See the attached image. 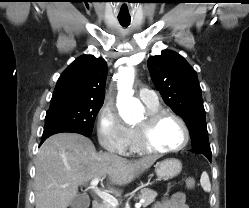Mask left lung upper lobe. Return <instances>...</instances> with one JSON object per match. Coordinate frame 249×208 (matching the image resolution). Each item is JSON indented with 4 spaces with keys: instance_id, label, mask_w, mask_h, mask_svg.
I'll list each match as a JSON object with an SVG mask.
<instances>
[{
    "instance_id": "1",
    "label": "left lung upper lobe",
    "mask_w": 249,
    "mask_h": 208,
    "mask_svg": "<svg viewBox=\"0 0 249 208\" xmlns=\"http://www.w3.org/2000/svg\"><path fill=\"white\" fill-rule=\"evenodd\" d=\"M148 68L164 102L185 121L192 149L211 152L201 88L194 69L181 55L171 50L151 56Z\"/></svg>"
}]
</instances>
